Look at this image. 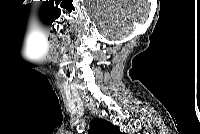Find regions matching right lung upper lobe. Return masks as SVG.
<instances>
[{
  "label": "right lung upper lobe",
  "instance_id": "1",
  "mask_svg": "<svg viewBox=\"0 0 200 134\" xmlns=\"http://www.w3.org/2000/svg\"><path fill=\"white\" fill-rule=\"evenodd\" d=\"M91 134H119V129L104 119H95L91 123Z\"/></svg>",
  "mask_w": 200,
  "mask_h": 134
}]
</instances>
